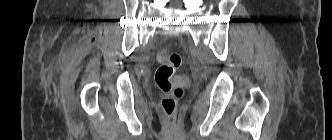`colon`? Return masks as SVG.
<instances>
[{
  "label": "colon",
  "mask_w": 332,
  "mask_h": 140,
  "mask_svg": "<svg viewBox=\"0 0 332 140\" xmlns=\"http://www.w3.org/2000/svg\"><path fill=\"white\" fill-rule=\"evenodd\" d=\"M160 63L155 72L156 85L163 91L162 108L170 123L175 121L177 104L184 94L183 88L175 83L174 75L181 65L179 54L170 51H161L157 55Z\"/></svg>",
  "instance_id": "1"
}]
</instances>
